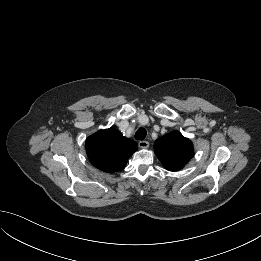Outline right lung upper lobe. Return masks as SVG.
Here are the masks:
<instances>
[{"label":"right lung upper lobe","mask_w":261,"mask_h":261,"mask_svg":"<svg viewBox=\"0 0 261 261\" xmlns=\"http://www.w3.org/2000/svg\"><path fill=\"white\" fill-rule=\"evenodd\" d=\"M85 145L90 162L107 173L124 169L128 158L137 150L136 142L115 128L99 130L86 139Z\"/></svg>","instance_id":"cb5924a9"}]
</instances>
